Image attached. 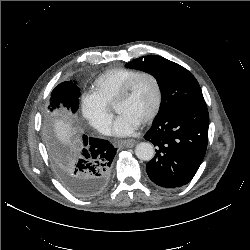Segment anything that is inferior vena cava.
I'll return each instance as SVG.
<instances>
[{"mask_svg":"<svg viewBox=\"0 0 250 250\" xmlns=\"http://www.w3.org/2000/svg\"><path fill=\"white\" fill-rule=\"evenodd\" d=\"M102 134L109 135L110 134V128L108 126H105L101 130Z\"/></svg>","mask_w":250,"mask_h":250,"instance_id":"602c4592","label":"inferior vena cava"}]
</instances>
